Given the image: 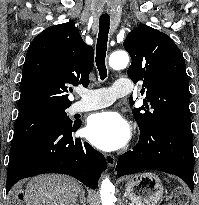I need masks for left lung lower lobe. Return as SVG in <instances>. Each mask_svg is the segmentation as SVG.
Masks as SVG:
<instances>
[{
	"label": "left lung lower lobe",
	"instance_id": "1",
	"mask_svg": "<svg viewBox=\"0 0 199 205\" xmlns=\"http://www.w3.org/2000/svg\"><path fill=\"white\" fill-rule=\"evenodd\" d=\"M159 170L180 177L193 192L194 154L190 122L166 120L158 129L140 132L132 151L121 155L118 176Z\"/></svg>",
	"mask_w": 199,
	"mask_h": 205
}]
</instances>
